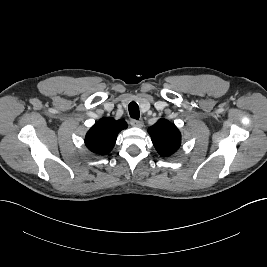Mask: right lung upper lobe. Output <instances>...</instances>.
<instances>
[{
    "instance_id": "right-lung-upper-lobe-1",
    "label": "right lung upper lobe",
    "mask_w": 267,
    "mask_h": 267,
    "mask_svg": "<svg viewBox=\"0 0 267 267\" xmlns=\"http://www.w3.org/2000/svg\"><path fill=\"white\" fill-rule=\"evenodd\" d=\"M127 126L124 120L102 118L87 132L85 144L93 153L105 155L113 149L118 133Z\"/></svg>"
}]
</instances>
